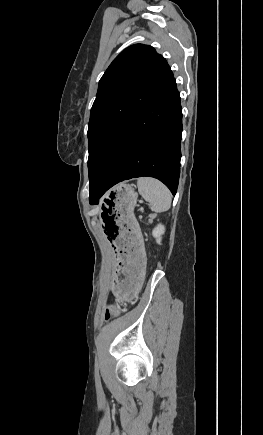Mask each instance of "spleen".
<instances>
[{
    "label": "spleen",
    "mask_w": 263,
    "mask_h": 435,
    "mask_svg": "<svg viewBox=\"0 0 263 435\" xmlns=\"http://www.w3.org/2000/svg\"><path fill=\"white\" fill-rule=\"evenodd\" d=\"M137 186L139 193L149 202L152 211L160 213L170 208L172 196L162 182L154 178L142 177L138 179Z\"/></svg>",
    "instance_id": "1"
}]
</instances>
